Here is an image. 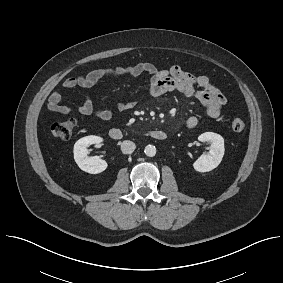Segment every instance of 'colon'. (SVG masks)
Segmentation results:
<instances>
[{
  "mask_svg": "<svg viewBox=\"0 0 283 283\" xmlns=\"http://www.w3.org/2000/svg\"><path fill=\"white\" fill-rule=\"evenodd\" d=\"M75 126L76 121L73 118H68L55 122L51 127V131L55 138L67 140L72 137ZM244 127L245 123L242 119L237 118L232 121V129L234 131L240 132L244 129Z\"/></svg>",
  "mask_w": 283,
  "mask_h": 283,
  "instance_id": "5ec220e1",
  "label": "colon"
}]
</instances>
